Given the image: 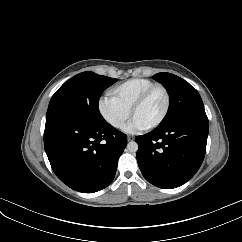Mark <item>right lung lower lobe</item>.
I'll return each instance as SVG.
<instances>
[{"label":"right lung lower lobe","instance_id":"1","mask_svg":"<svg viewBox=\"0 0 242 242\" xmlns=\"http://www.w3.org/2000/svg\"><path fill=\"white\" fill-rule=\"evenodd\" d=\"M126 144V135L107 122L62 118L45 125L44 147L54 173L83 193L97 192L112 182Z\"/></svg>","mask_w":242,"mask_h":242}]
</instances>
